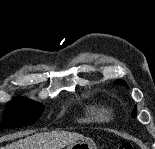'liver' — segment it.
I'll return each mask as SVG.
<instances>
[{"label": "liver", "mask_w": 155, "mask_h": 149, "mask_svg": "<svg viewBox=\"0 0 155 149\" xmlns=\"http://www.w3.org/2000/svg\"><path fill=\"white\" fill-rule=\"evenodd\" d=\"M83 138L82 134L67 131L37 133L8 144L2 149H62Z\"/></svg>", "instance_id": "1"}]
</instances>
